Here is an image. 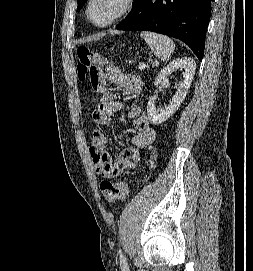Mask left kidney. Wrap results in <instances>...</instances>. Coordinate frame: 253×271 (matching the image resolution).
<instances>
[{
	"label": "left kidney",
	"instance_id": "left-kidney-1",
	"mask_svg": "<svg viewBox=\"0 0 253 271\" xmlns=\"http://www.w3.org/2000/svg\"><path fill=\"white\" fill-rule=\"evenodd\" d=\"M178 69L183 70V80L179 83L177 91L172 97V101H170L169 104L165 105L164 108H156V95H152L148 101L147 114L149 120L153 124H161L166 121L176 112V110L180 107L182 101L185 99L186 93L190 88L196 69V64L192 58H178L169 63L160 72L158 77L155 79L154 84L156 87H158V85L160 84L167 83L169 81V76L171 75V73L177 71Z\"/></svg>",
	"mask_w": 253,
	"mask_h": 271
}]
</instances>
